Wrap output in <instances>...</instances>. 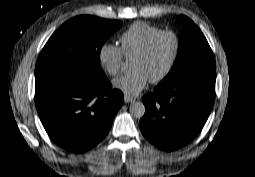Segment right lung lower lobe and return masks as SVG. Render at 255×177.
<instances>
[{"mask_svg": "<svg viewBox=\"0 0 255 177\" xmlns=\"http://www.w3.org/2000/svg\"><path fill=\"white\" fill-rule=\"evenodd\" d=\"M123 99L104 73L51 72L35 80V104L47 134L73 152L93 148L108 134Z\"/></svg>", "mask_w": 255, "mask_h": 177, "instance_id": "98d812e1", "label": "right lung lower lobe"}]
</instances>
